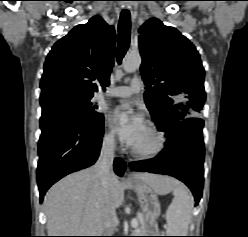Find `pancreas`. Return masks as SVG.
I'll use <instances>...</instances> for the list:
<instances>
[{"instance_id": "obj_1", "label": "pancreas", "mask_w": 248, "mask_h": 237, "mask_svg": "<svg viewBox=\"0 0 248 237\" xmlns=\"http://www.w3.org/2000/svg\"><path fill=\"white\" fill-rule=\"evenodd\" d=\"M137 221L139 222V225L135 228L134 233H136V235H145V233H147L148 225L144 216L138 217Z\"/></svg>"}]
</instances>
